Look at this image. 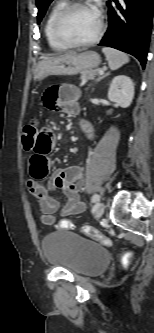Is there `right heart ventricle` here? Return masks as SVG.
<instances>
[{
    "mask_svg": "<svg viewBox=\"0 0 154 333\" xmlns=\"http://www.w3.org/2000/svg\"><path fill=\"white\" fill-rule=\"evenodd\" d=\"M67 3V0H56L55 3L50 8L45 24H44V33L45 37L47 39V42L49 46L56 51H64L69 49V47L65 46L61 42L57 40V38L54 35L53 31V23L55 20L56 15L58 12L62 9V7Z\"/></svg>",
    "mask_w": 154,
    "mask_h": 333,
    "instance_id": "1",
    "label": "right heart ventricle"
}]
</instances>
